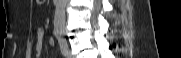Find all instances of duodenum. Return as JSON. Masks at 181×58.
I'll return each mask as SVG.
<instances>
[{"label": "duodenum", "mask_w": 181, "mask_h": 58, "mask_svg": "<svg viewBox=\"0 0 181 58\" xmlns=\"http://www.w3.org/2000/svg\"><path fill=\"white\" fill-rule=\"evenodd\" d=\"M54 4L58 3V0H53Z\"/></svg>", "instance_id": "duodenum-1"}]
</instances>
